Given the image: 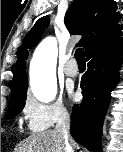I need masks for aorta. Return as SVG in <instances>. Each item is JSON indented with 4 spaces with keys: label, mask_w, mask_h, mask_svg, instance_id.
I'll return each instance as SVG.
<instances>
[{
    "label": "aorta",
    "mask_w": 123,
    "mask_h": 152,
    "mask_svg": "<svg viewBox=\"0 0 123 152\" xmlns=\"http://www.w3.org/2000/svg\"><path fill=\"white\" fill-rule=\"evenodd\" d=\"M57 42L47 37L37 46L30 63V84L33 95L42 103L53 101L57 94Z\"/></svg>",
    "instance_id": "1"
}]
</instances>
